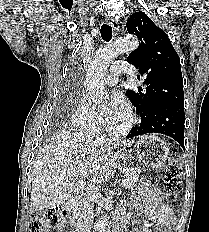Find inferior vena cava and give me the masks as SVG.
I'll list each match as a JSON object with an SVG mask.
<instances>
[{"mask_svg":"<svg viewBox=\"0 0 209 232\" xmlns=\"http://www.w3.org/2000/svg\"><path fill=\"white\" fill-rule=\"evenodd\" d=\"M97 193V187L95 186V184L86 188V193L84 195L81 205V216L79 224L80 232H91L94 215V201Z\"/></svg>","mask_w":209,"mask_h":232,"instance_id":"602c4592","label":"inferior vena cava"}]
</instances>
